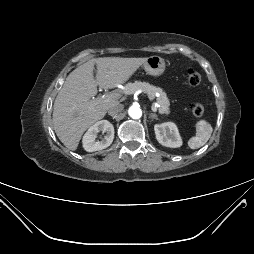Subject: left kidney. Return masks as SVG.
Wrapping results in <instances>:
<instances>
[{
  "label": "left kidney",
  "mask_w": 254,
  "mask_h": 254,
  "mask_svg": "<svg viewBox=\"0 0 254 254\" xmlns=\"http://www.w3.org/2000/svg\"><path fill=\"white\" fill-rule=\"evenodd\" d=\"M154 131L157 141L163 146L178 148L182 145V139L176 124L172 122L156 124Z\"/></svg>",
  "instance_id": "left-kidney-1"
}]
</instances>
